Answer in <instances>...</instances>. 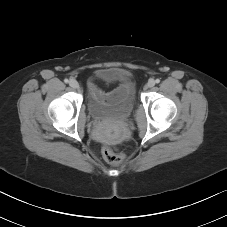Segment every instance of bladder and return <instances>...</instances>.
<instances>
[{
	"mask_svg": "<svg viewBox=\"0 0 227 227\" xmlns=\"http://www.w3.org/2000/svg\"><path fill=\"white\" fill-rule=\"evenodd\" d=\"M116 72L115 69H101L95 73V77L98 79H109ZM87 105L91 117L98 121L128 116L135 106V92L132 80L127 81V88L118 99L101 101L90 96Z\"/></svg>",
	"mask_w": 227,
	"mask_h": 227,
	"instance_id": "bladder-1",
	"label": "bladder"
}]
</instances>
